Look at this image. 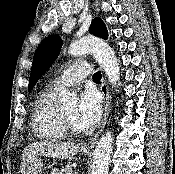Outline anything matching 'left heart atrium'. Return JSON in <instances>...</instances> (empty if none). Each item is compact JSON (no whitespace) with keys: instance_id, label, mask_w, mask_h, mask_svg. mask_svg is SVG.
<instances>
[{"instance_id":"left-heart-atrium-1","label":"left heart atrium","mask_w":175,"mask_h":174,"mask_svg":"<svg viewBox=\"0 0 175 174\" xmlns=\"http://www.w3.org/2000/svg\"><path fill=\"white\" fill-rule=\"evenodd\" d=\"M102 113L101 99L93 89H85L79 96L75 110V121L81 129L92 128Z\"/></svg>"}]
</instances>
